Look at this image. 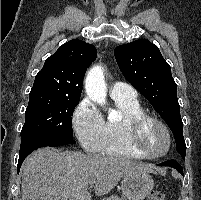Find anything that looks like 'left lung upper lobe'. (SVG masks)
Here are the masks:
<instances>
[{
    "instance_id": "left-lung-upper-lobe-1",
    "label": "left lung upper lobe",
    "mask_w": 201,
    "mask_h": 200,
    "mask_svg": "<svg viewBox=\"0 0 201 200\" xmlns=\"http://www.w3.org/2000/svg\"><path fill=\"white\" fill-rule=\"evenodd\" d=\"M114 55L124 77L167 123L174 135L177 151L185 160L186 144L177 85L159 48L146 39H140L116 47Z\"/></svg>"
}]
</instances>
